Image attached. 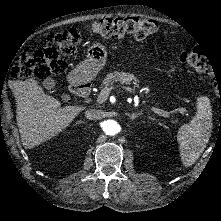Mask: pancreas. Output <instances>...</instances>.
Returning <instances> with one entry per match:
<instances>
[{"label": "pancreas", "instance_id": "pancreas-1", "mask_svg": "<svg viewBox=\"0 0 221 221\" xmlns=\"http://www.w3.org/2000/svg\"><path fill=\"white\" fill-rule=\"evenodd\" d=\"M114 80L127 82L128 77L126 73H108L105 78L101 79V84L103 85L102 90H104L105 87L110 86V82H113ZM175 121H177V119H175Z\"/></svg>", "mask_w": 221, "mask_h": 221}]
</instances>
